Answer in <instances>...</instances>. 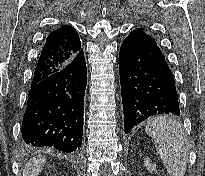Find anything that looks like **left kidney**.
<instances>
[{"mask_svg":"<svg viewBox=\"0 0 205 176\" xmlns=\"http://www.w3.org/2000/svg\"><path fill=\"white\" fill-rule=\"evenodd\" d=\"M144 166L147 167V169H148L150 172H153V171H155V169H156V165L150 163L149 158H146V159L144 160Z\"/></svg>","mask_w":205,"mask_h":176,"instance_id":"1","label":"left kidney"}]
</instances>
